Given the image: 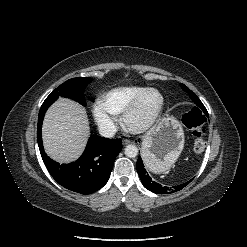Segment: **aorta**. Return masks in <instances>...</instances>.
I'll return each instance as SVG.
<instances>
[{"instance_id":"1","label":"aorta","mask_w":247,"mask_h":247,"mask_svg":"<svg viewBox=\"0 0 247 247\" xmlns=\"http://www.w3.org/2000/svg\"><path fill=\"white\" fill-rule=\"evenodd\" d=\"M124 153L129 158H135L138 155V148L134 144H129L125 147Z\"/></svg>"}]
</instances>
